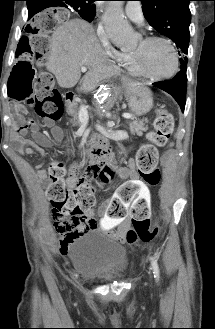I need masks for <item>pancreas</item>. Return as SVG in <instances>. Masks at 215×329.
<instances>
[{"label": "pancreas", "instance_id": "obj_1", "mask_svg": "<svg viewBox=\"0 0 215 329\" xmlns=\"http://www.w3.org/2000/svg\"><path fill=\"white\" fill-rule=\"evenodd\" d=\"M68 111L71 113L72 115V121H73V125L78 126L80 125V120H79V110L76 106V104H71V109L69 110L68 107ZM147 120H137L135 118H132V121L129 122V130L131 132V134H137L139 136H141L143 134V132L148 130V127L145 126V123H147Z\"/></svg>", "mask_w": 215, "mask_h": 329}]
</instances>
